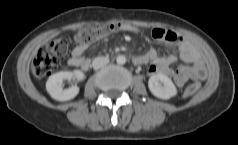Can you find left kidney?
Returning <instances> with one entry per match:
<instances>
[{
  "instance_id": "1",
  "label": "left kidney",
  "mask_w": 238,
  "mask_h": 145,
  "mask_svg": "<svg viewBox=\"0 0 238 145\" xmlns=\"http://www.w3.org/2000/svg\"><path fill=\"white\" fill-rule=\"evenodd\" d=\"M151 93L161 99H170L177 94V89L172 80L161 73L154 74L148 81Z\"/></svg>"
}]
</instances>
